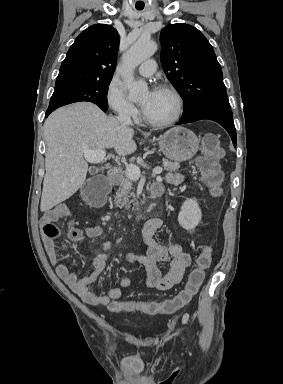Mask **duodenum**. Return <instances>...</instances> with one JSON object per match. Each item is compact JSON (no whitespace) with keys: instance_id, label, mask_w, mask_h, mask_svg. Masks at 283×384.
Here are the masks:
<instances>
[{"instance_id":"1","label":"duodenum","mask_w":283,"mask_h":384,"mask_svg":"<svg viewBox=\"0 0 283 384\" xmlns=\"http://www.w3.org/2000/svg\"><path fill=\"white\" fill-rule=\"evenodd\" d=\"M107 177L110 180V182H118L122 177V170L119 167L114 166L107 173ZM102 180L105 181L104 178H102ZM106 187H108L107 184H106ZM162 193H163V187L160 183H154L151 185L150 190H149V196L150 197L158 198L162 195ZM143 217H144V213L142 211L136 212L130 216V218L133 222H138Z\"/></svg>"}]
</instances>
